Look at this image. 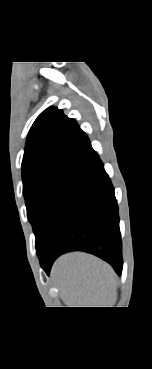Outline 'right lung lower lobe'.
<instances>
[{
  "instance_id": "right-lung-lower-lobe-1",
  "label": "right lung lower lobe",
  "mask_w": 152,
  "mask_h": 369,
  "mask_svg": "<svg viewBox=\"0 0 152 369\" xmlns=\"http://www.w3.org/2000/svg\"><path fill=\"white\" fill-rule=\"evenodd\" d=\"M36 250L48 275L54 260L70 251L94 254L121 274L118 206L114 188L94 150L68 181Z\"/></svg>"
}]
</instances>
